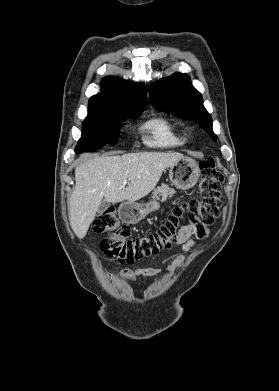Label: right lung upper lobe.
I'll return each instance as SVG.
<instances>
[{"mask_svg": "<svg viewBox=\"0 0 279 391\" xmlns=\"http://www.w3.org/2000/svg\"><path fill=\"white\" fill-rule=\"evenodd\" d=\"M103 93L89 100V113L135 111L144 108L146 89L143 84L109 77L102 81Z\"/></svg>", "mask_w": 279, "mask_h": 391, "instance_id": "obj_1", "label": "right lung upper lobe"}]
</instances>
